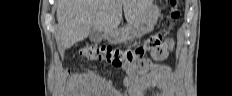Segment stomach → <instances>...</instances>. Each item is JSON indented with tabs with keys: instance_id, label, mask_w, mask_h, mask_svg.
Masks as SVG:
<instances>
[{
	"instance_id": "0dacf381",
	"label": "stomach",
	"mask_w": 232,
	"mask_h": 96,
	"mask_svg": "<svg viewBox=\"0 0 232 96\" xmlns=\"http://www.w3.org/2000/svg\"><path fill=\"white\" fill-rule=\"evenodd\" d=\"M159 9L151 6L135 23H128L125 27L113 32L105 33V39L112 44H119L131 38L142 36L152 31L158 20Z\"/></svg>"
}]
</instances>
